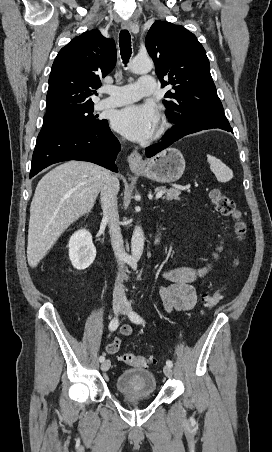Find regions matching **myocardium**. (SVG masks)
<instances>
[{
	"label": "myocardium",
	"instance_id": "myocardium-1",
	"mask_svg": "<svg viewBox=\"0 0 272 452\" xmlns=\"http://www.w3.org/2000/svg\"><path fill=\"white\" fill-rule=\"evenodd\" d=\"M166 129V123L165 122H161L159 128H158V135L162 134L164 132V130Z\"/></svg>",
	"mask_w": 272,
	"mask_h": 452
}]
</instances>
